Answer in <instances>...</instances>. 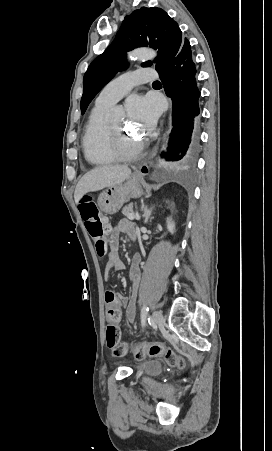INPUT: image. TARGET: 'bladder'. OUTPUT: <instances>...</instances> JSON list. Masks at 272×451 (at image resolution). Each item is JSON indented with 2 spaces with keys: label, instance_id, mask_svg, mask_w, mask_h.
I'll use <instances>...</instances> for the list:
<instances>
[{
  "label": "bladder",
  "instance_id": "1",
  "mask_svg": "<svg viewBox=\"0 0 272 451\" xmlns=\"http://www.w3.org/2000/svg\"><path fill=\"white\" fill-rule=\"evenodd\" d=\"M161 360L158 359H150L142 362V370L144 372H149L153 374H157L161 368Z\"/></svg>",
  "mask_w": 272,
  "mask_h": 451
}]
</instances>
